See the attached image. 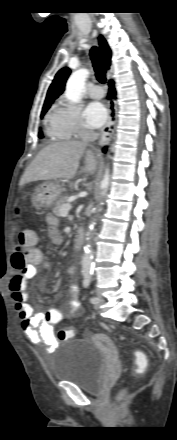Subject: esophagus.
I'll return each mask as SVG.
<instances>
[{
    "instance_id": "esophagus-1",
    "label": "esophagus",
    "mask_w": 177,
    "mask_h": 440,
    "mask_svg": "<svg viewBox=\"0 0 177 440\" xmlns=\"http://www.w3.org/2000/svg\"><path fill=\"white\" fill-rule=\"evenodd\" d=\"M108 113L109 118L104 126V128L101 131V137L99 140V146H103L107 144L110 139L112 138V135L114 133L115 127H116V104L114 101H110L108 104Z\"/></svg>"
}]
</instances>
